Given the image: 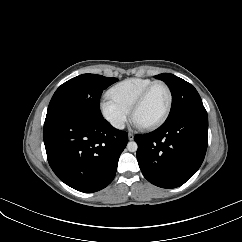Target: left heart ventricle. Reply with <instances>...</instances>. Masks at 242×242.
Returning <instances> with one entry per match:
<instances>
[{
  "mask_svg": "<svg viewBox=\"0 0 242 242\" xmlns=\"http://www.w3.org/2000/svg\"><path fill=\"white\" fill-rule=\"evenodd\" d=\"M167 92L162 85L152 89L135 114V123L139 126L151 124L158 120L167 104Z\"/></svg>",
  "mask_w": 242,
  "mask_h": 242,
  "instance_id": "obj_1",
  "label": "left heart ventricle"
}]
</instances>
